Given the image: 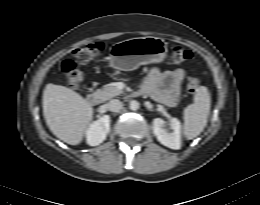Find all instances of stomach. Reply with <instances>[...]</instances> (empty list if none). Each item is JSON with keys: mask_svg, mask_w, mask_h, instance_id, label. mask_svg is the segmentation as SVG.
<instances>
[{"mask_svg": "<svg viewBox=\"0 0 260 205\" xmlns=\"http://www.w3.org/2000/svg\"><path fill=\"white\" fill-rule=\"evenodd\" d=\"M166 54L167 45L161 38L153 36L131 38L113 45L110 65L115 69L130 71L140 65L161 63Z\"/></svg>", "mask_w": 260, "mask_h": 205, "instance_id": "stomach-1", "label": "stomach"}]
</instances>
